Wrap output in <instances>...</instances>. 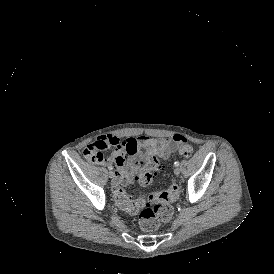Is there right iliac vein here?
Wrapping results in <instances>:
<instances>
[{
  "instance_id": "1",
  "label": "right iliac vein",
  "mask_w": 274,
  "mask_h": 274,
  "mask_svg": "<svg viewBox=\"0 0 274 274\" xmlns=\"http://www.w3.org/2000/svg\"><path fill=\"white\" fill-rule=\"evenodd\" d=\"M108 175L112 181V184H114L116 182L115 173L113 171H110Z\"/></svg>"
}]
</instances>
